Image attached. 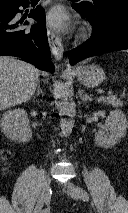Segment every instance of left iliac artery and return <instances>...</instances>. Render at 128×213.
Masks as SVG:
<instances>
[{"label": "left iliac artery", "instance_id": "obj_1", "mask_svg": "<svg viewBox=\"0 0 128 213\" xmlns=\"http://www.w3.org/2000/svg\"><path fill=\"white\" fill-rule=\"evenodd\" d=\"M78 190H79L80 197L84 201H88L89 200V196H88L87 192L84 189L80 188V187L78 188Z\"/></svg>", "mask_w": 128, "mask_h": 213}]
</instances>
